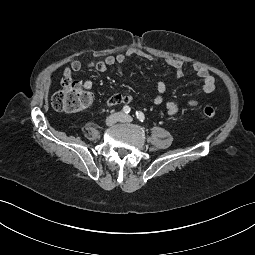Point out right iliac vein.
<instances>
[{
  "label": "right iliac vein",
  "instance_id": "1",
  "mask_svg": "<svg viewBox=\"0 0 255 255\" xmlns=\"http://www.w3.org/2000/svg\"><path fill=\"white\" fill-rule=\"evenodd\" d=\"M122 118V114L120 113H115V114H112L110 115L106 121H105V124L107 126H112L114 125L116 122L120 121V119Z\"/></svg>",
  "mask_w": 255,
  "mask_h": 255
}]
</instances>
